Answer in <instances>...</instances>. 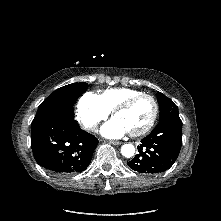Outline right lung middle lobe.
<instances>
[{
	"mask_svg": "<svg viewBox=\"0 0 221 221\" xmlns=\"http://www.w3.org/2000/svg\"><path fill=\"white\" fill-rule=\"evenodd\" d=\"M87 83H73L63 86L48 96L38 107L31 126L55 112L70 110L73 112V105L78 97L86 91ZM74 117V113L71 115Z\"/></svg>",
	"mask_w": 221,
	"mask_h": 221,
	"instance_id": "1",
	"label": "right lung middle lobe"
}]
</instances>
